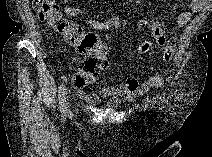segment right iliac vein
<instances>
[{
    "mask_svg": "<svg viewBox=\"0 0 212 157\" xmlns=\"http://www.w3.org/2000/svg\"><path fill=\"white\" fill-rule=\"evenodd\" d=\"M69 112H70V106H69V103H66V111H65V113H69Z\"/></svg>",
    "mask_w": 212,
    "mask_h": 157,
    "instance_id": "1",
    "label": "right iliac vein"
}]
</instances>
